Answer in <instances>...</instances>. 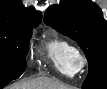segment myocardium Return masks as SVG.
Segmentation results:
<instances>
[{
	"instance_id": "myocardium-1",
	"label": "myocardium",
	"mask_w": 107,
	"mask_h": 89,
	"mask_svg": "<svg viewBox=\"0 0 107 89\" xmlns=\"http://www.w3.org/2000/svg\"><path fill=\"white\" fill-rule=\"evenodd\" d=\"M86 65H87V58L82 52L77 50L72 56L73 69L75 70V72H79L83 70L86 67Z\"/></svg>"
}]
</instances>
